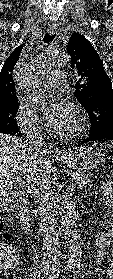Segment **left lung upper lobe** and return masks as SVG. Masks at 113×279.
<instances>
[{
	"instance_id": "5c2ea615",
	"label": "left lung upper lobe",
	"mask_w": 113,
	"mask_h": 279,
	"mask_svg": "<svg viewBox=\"0 0 113 279\" xmlns=\"http://www.w3.org/2000/svg\"><path fill=\"white\" fill-rule=\"evenodd\" d=\"M73 73L78 76L75 97L88 113L91 133L113 124V90L103 62L92 44L74 33L67 45Z\"/></svg>"
}]
</instances>
